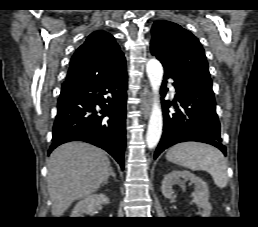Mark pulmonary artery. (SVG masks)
Returning <instances> with one entry per match:
<instances>
[{
  "label": "pulmonary artery",
  "instance_id": "1",
  "mask_svg": "<svg viewBox=\"0 0 258 227\" xmlns=\"http://www.w3.org/2000/svg\"><path fill=\"white\" fill-rule=\"evenodd\" d=\"M171 92L174 93V88L173 87H171Z\"/></svg>",
  "mask_w": 258,
  "mask_h": 227
}]
</instances>
